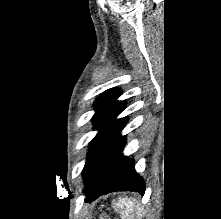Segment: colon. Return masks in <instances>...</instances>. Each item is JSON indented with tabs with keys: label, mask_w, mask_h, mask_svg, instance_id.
Returning a JSON list of instances; mask_svg holds the SVG:
<instances>
[{
	"label": "colon",
	"mask_w": 221,
	"mask_h": 219,
	"mask_svg": "<svg viewBox=\"0 0 221 219\" xmlns=\"http://www.w3.org/2000/svg\"><path fill=\"white\" fill-rule=\"evenodd\" d=\"M101 219H108L107 216H102Z\"/></svg>",
	"instance_id": "obj_1"
}]
</instances>
